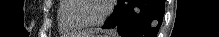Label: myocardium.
Segmentation results:
<instances>
[{
  "label": "myocardium",
  "instance_id": "1",
  "mask_svg": "<svg viewBox=\"0 0 219 37\" xmlns=\"http://www.w3.org/2000/svg\"><path fill=\"white\" fill-rule=\"evenodd\" d=\"M72 2V7L69 11V18L78 26L85 28V27H96L101 25L102 23H104L106 21V19L108 18L112 6H111V0H107L105 1V9L103 14L96 20H92V21H86V20H82L80 18L77 17L76 13L78 12L80 5L79 2L81 0H70Z\"/></svg>",
  "mask_w": 219,
  "mask_h": 37
}]
</instances>
